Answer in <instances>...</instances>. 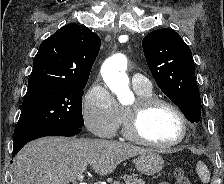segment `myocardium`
I'll return each instance as SVG.
<instances>
[{"instance_id":"obj_1","label":"myocardium","mask_w":224,"mask_h":184,"mask_svg":"<svg viewBox=\"0 0 224 184\" xmlns=\"http://www.w3.org/2000/svg\"><path fill=\"white\" fill-rule=\"evenodd\" d=\"M161 105L167 106L173 110L181 122L180 136L177 139L165 144L151 141L142 132V125L146 116L154 108ZM188 132L189 123L186 115L174 102L166 98L157 96L139 97L134 104L126 108L124 134L129 140L135 143L146 145L158 150L170 149L182 143L187 137Z\"/></svg>"}]
</instances>
